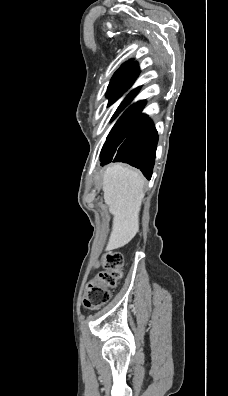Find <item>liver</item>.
I'll list each match as a JSON object with an SVG mask.
<instances>
[{
  "mask_svg": "<svg viewBox=\"0 0 228 396\" xmlns=\"http://www.w3.org/2000/svg\"><path fill=\"white\" fill-rule=\"evenodd\" d=\"M105 203L113 215L112 232L106 250L128 244L139 231V213L144 198V178L122 164L109 166L103 177Z\"/></svg>",
  "mask_w": 228,
  "mask_h": 396,
  "instance_id": "liver-1",
  "label": "liver"
}]
</instances>
